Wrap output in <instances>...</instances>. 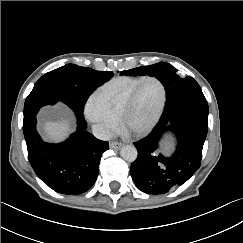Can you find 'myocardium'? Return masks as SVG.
<instances>
[{"label": "myocardium", "mask_w": 243, "mask_h": 243, "mask_svg": "<svg viewBox=\"0 0 243 243\" xmlns=\"http://www.w3.org/2000/svg\"><path fill=\"white\" fill-rule=\"evenodd\" d=\"M148 81H155L160 86L161 91H162V98H161L160 104H159L157 110L155 111V113L153 114V116L149 119V121L145 125H143L139 128L131 129L127 126L128 114L133 107V104L136 100V97L138 95L140 88L142 87V85L144 83H146ZM166 102H167V91H166V88H165V85L163 84V82L157 77H153V76L145 77L135 86V88L132 90V92L129 94L128 98L126 99L124 105L122 106L120 115H119L120 123L123 127L128 129L129 131H131L133 134L144 135V134L148 133L149 131H151L154 128V126L157 124V122L159 121L160 117L163 114V111L166 106Z\"/></svg>", "instance_id": "obj_1"}]
</instances>
